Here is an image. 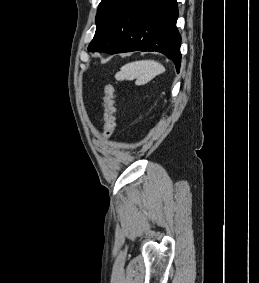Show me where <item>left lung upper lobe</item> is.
I'll return each mask as SVG.
<instances>
[{"label":"left lung upper lobe","mask_w":259,"mask_h":283,"mask_svg":"<svg viewBox=\"0 0 259 283\" xmlns=\"http://www.w3.org/2000/svg\"><path fill=\"white\" fill-rule=\"evenodd\" d=\"M125 0H102L99 4L97 15H96V32L93 40L90 44L97 42L106 29L108 28L109 24L111 23L112 19L118 12L119 8L123 4Z\"/></svg>","instance_id":"left-lung-upper-lobe-1"}]
</instances>
